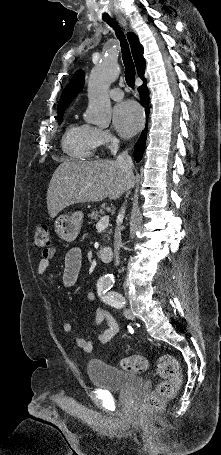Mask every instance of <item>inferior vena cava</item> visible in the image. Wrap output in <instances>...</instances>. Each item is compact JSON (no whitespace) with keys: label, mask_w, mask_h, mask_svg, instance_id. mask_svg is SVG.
Returning <instances> with one entry per match:
<instances>
[{"label":"inferior vena cava","mask_w":221,"mask_h":455,"mask_svg":"<svg viewBox=\"0 0 221 455\" xmlns=\"http://www.w3.org/2000/svg\"><path fill=\"white\" fill-rule=\"evenodd\" d=\"M117 164H119L129 175V177L133 176V161L130 155L128 154L127 151H123L120 153L117 157L116 160ZM133 187V182L130 180L127 188V194L126 197H128L130 193V189ZM125 214V203L120 209L119 212V217L122 221L123 217ZM121 223V222H120ZM122 246V239H121V224H118L115 229V234H114V257H115V263H119V251Z\"/></svg>","instance_id":"obj_1"}]
</instances>
